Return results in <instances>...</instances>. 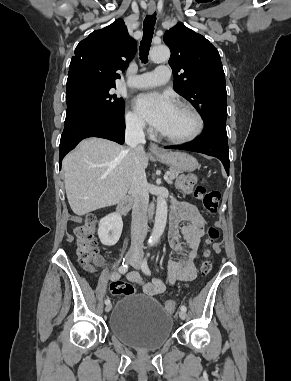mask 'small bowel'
<instances>
[{
	"label": "small bowel",
	"mask_w": 291,
	"mask_h": 381,
	"mask_svg": "<svg viewBox=\"0 0 291 381\" xmlns=\"http://www.w3.org/2000/svg\"><path fill=\"white\" fill-rule=\"evenodd\" d=\"M182 222L186 224L181 227ZM203 231L204 220L197 207L190 203L176 204L170 216L169 242L176 252L184 255L183 259L170 261L167 281L153 279L146 282L137 272L127 273V280L141 286L143 292L150 296L163 293L167 284L176 280H193L197 275L196 260ZM118 278L117 273L111 274L112 281Z\"/></svg>",
	"instance_id": "c3829d8e"
}]
</instances>
